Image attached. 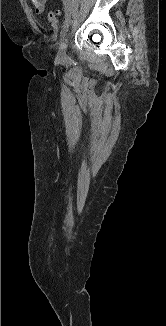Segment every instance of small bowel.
Masks as SVG:
<instances>
[{
  "mask_svg": "<svg viewBox=\"0 0 166 326\" xmlns=\"http://www.w3.org/2000/svg\"><path fill=\"white\" fill-rule=\"evenodd\" d=\"M47 0H30V4L33 11L37 14L42 13L45 10Z\"/></svg>",
  "mask_w": 166,
  "mask_h": 326,
  "instance_id": "1",
  "label": "small bowel"
}]
</instances>
